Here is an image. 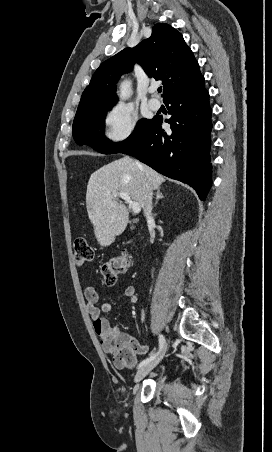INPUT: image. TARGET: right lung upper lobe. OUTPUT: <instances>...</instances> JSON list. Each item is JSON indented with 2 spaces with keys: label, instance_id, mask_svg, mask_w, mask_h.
<instances>
[{
  "label": "right lung upper lobe",
  "instance_id": "obj_1",
  "mask_svg": "<svg viewBox=\"0 0 272 452\" xmlns=\"http://www.w3.org/2000/svg\"><path fill=\"white\" fill-rule=\"evenodd\" d=\"M138 62L149 77L162 80L164 99L202 75L193 52L172 26L158 23L152 35L134 48H126L103 62L84 90L76 115L116 103V83Z\"/></svg>",
  "mask_w": 272,
  "mask_h": 452
}]
</instances>
